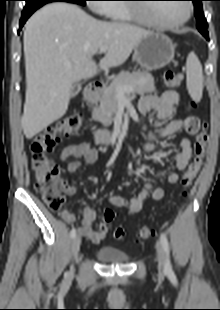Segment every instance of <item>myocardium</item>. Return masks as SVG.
<instances>
[{
	"label": "myocardium",
	"mask_w": 220,
	"mask_h": 310,
	"mask_svg": "<svg viewBox=\"0 0 220 310\" xmlns=\"http://www.w3.org/2000/svg\"><path fill=\"white\" fill-rule=\"evenodd\" d=\"M185 5H186L185 16L179 21H176L173 23L159 20L158 18L153 16L149 10H146V9H142L136 6H132L130 9L137 19L144 21L153 27L160 28V29H174V28H178L184 25L190 19L192 15V5L189 4L188 2L185 3ZM143 15H148V16L144 17Z\"/></svg>",
	"instance_id": "myocardium-1"
}]
</instances>
